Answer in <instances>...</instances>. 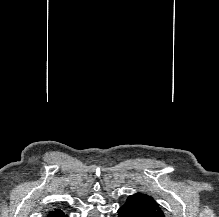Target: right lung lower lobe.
<instances>
[{"mask_svg":"<svg viewBox=\"0 0 219 217\" xmlns=\"http://www.w3.org/2000/svg\"><path fill=\"white\" fill-rule=\"evenodd\" d=\"M46 217H68L62 210L55 209L50 211Z\"/></svg>","mask_w":219,"mask_h":217,"instance_id":"98d812e1","label":"right lung lower lobe"}]
</instances>
